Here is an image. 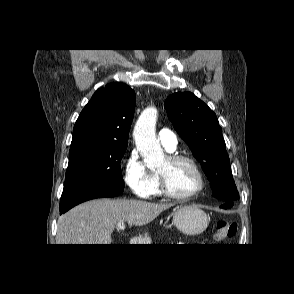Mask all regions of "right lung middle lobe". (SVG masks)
<instances>
[{
	"label": "right lung middle lobe",
	"mask_w": 294,
	"mask_h": 294,
	"mask_svg": "<svg viewBox=\"0 0 294 294\" xmlns=\"http://www.w3.org/2000/svg\"><path fill=\"white\" fill-rule=\"evenodd\" d=\"M126 149L92 143L71 146L62 195L91 186L124 187L120 162Z\"/></svg>",
	"instance_id": "1"
}]
</instances>
